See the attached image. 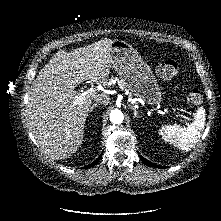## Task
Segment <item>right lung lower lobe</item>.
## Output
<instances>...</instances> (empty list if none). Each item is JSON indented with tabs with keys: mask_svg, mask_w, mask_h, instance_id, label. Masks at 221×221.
I'll return each mask as SVG.
<instances>
[{
	"mask_svg": "<svg viewBox=\"0 0 221 221\" xmlns=\"http://www.w3.org/2000/svg\"><path fill=\"white\" fill-rule=\"evenodd\" d=\"M100 158H101V156H99L92 164H89L88 167L95 166L98 163Z\"/></svg>",
	"mask_w": 221,
	"mask_h": 221,
	"instance_id": "right-lung-lower-lobe-1",
	"label": "right lung lower lobe"
}]
</instances>
